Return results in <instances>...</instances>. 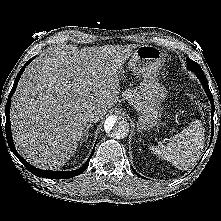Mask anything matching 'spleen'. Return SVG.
<instances>
[{
	"instance_id": "3e777b00",
	"label": "spleen",
	"mask_w": 221,
	"mask_h": 221,
	"mask_svg": "<svg viewBox=\"0 0 221 221\" xmlns=\"http://www.w3.org/2000/svg\"><path fill=\"white\" fill-rule=\"evenodd\" d=\"M204 147V128L199 121L192 122L179 134L170 139L167 145L150 147L156 156L171 162L181 170L193 167Z\"/></svg>"
}]
</instances>
